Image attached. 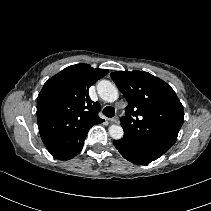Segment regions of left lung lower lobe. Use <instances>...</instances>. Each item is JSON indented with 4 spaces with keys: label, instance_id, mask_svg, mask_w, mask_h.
<instances>
[{
    "label": "left lung lower lobe",
    "instance_id": "left-lung-lower-lobe-1",
    "mask_svg": "<svg viewBox=\"0 0 211 211\" xmlns=\"http://www.w3.org/2000/svg\"><path fill=\"white\" fill-rule=\"evenodd\" d=\"M113 143L116 149L121 153V155L125 159L134 164L145 165L154 161L153 159L141 153L138 149L132 146V144L127 140H125L124 138L119 140H114Z\"/></svg>",
    "mask_w": 211,
    "mask_h": 211
}]
</instances>
